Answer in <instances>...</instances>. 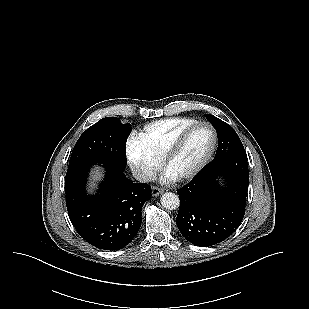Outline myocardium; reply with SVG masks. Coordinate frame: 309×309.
Returning a JSON list of instances; mask_svg holds the SVG:
<instances>
[{
    "label": "myocardium",
    "instance_id": "myocardium-1",
    "mask_svg": "<svg viewBox=\"0 0 309 309\" xmlns=\"http://www.w3.org/2000/svg\"><path fill=\"white\" fill-rule=\"evenodd\" d=\"M198 126H206L209 128L212 134V142L210 145L209 150L207 153L204 155V157L191 169L188 171L178 174L175 176V179L178 181H186L189 179H192L195 177L197 174H199L203 168L208 164L210 159L212 158L216 146H217V132L215 128L213 127L212 124L206 121H196L186 127L180 134L179 136L172 142L168 150L166 151L165 155L162 158V164L165 170H168L170 163L174 159V157L179 153V151L183 148L185 145L188 137L190 136L191 132Z\"/></svg>",
    "mask_w": 309,
    "mask_h": 309
}]
</instances>
